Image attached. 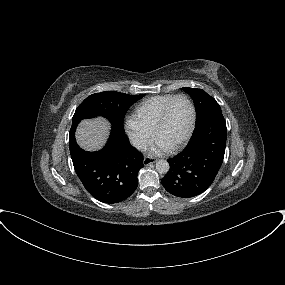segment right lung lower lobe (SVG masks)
Instances as JSON below:
<instances>
[{
    "mask_svg": "<svg viewBox=\"0 0 285 285\" xmlns=\"http://www.w3.org/2000/svg\"><path fill=\"white\" fill-rule=\"evenodd\" d=\"M78 124H72L69 147L74 169L86 190L97 200L113 204L127 199L138 185L142 155L124 133L112 130L106 146L96 152L81 149L75 140Z\"/></svg>",
    "mask_w": 285,
    "mask_h": 285,
    "instance_id": "98d812e1",
    "label": "right lung lower lobe"
}]
</instances>
